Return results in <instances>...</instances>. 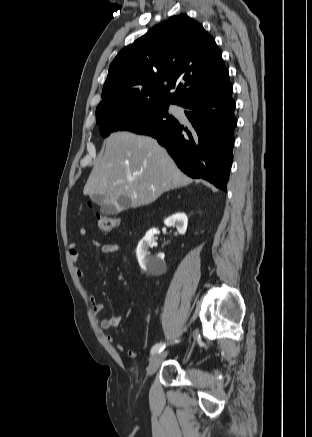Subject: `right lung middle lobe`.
<instances>
[{"instance_id": "right-lung-middle-lobe-1", "label": "right lung middle lobe", "mask_w": 312, "mask_h": 437, "mask_svg": "<svg viewBox=\"0 0 312 437\" xmlns=\"http://www.w3.org/2000/svg\"><path fill=\"white\" fill-rule=\"evenodd\" d=\"M170 103L150 102L134 104L108 113L97 121L102 136L115 131H130L137 134H151L162 131L177 120L168 114Z\"/></svg>"}]
</instances>
